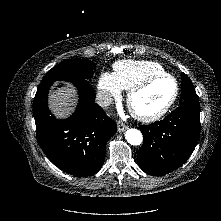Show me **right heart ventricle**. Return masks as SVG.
Returning a JSON list of instances; mask_svg holds the SVG:
<instances>
[{
	"instance_id": "1",
	"label": "right heart ventricle",
	"mask_w": 221,
	"mask_h": 221,
	"mask_svg": "<svg viewBox=\"0 0 221 221\" xmlns=\"http://www.w3.org/2000/svg\"><path fill=\"white\" fill-rule=\"evenodd\" d=\"M113 70L118 86L125 91L153 75L165 73L161 65L151 61L122 60L113 65Z\"/></svg>"
}]
</instances>
